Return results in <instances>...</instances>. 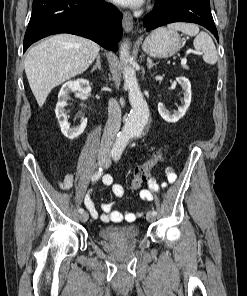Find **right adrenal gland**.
Here are the masks:
<instances>
[{
  "label": "right adrenal gland",
  "mask_w": 247,
  "mask_h": 296,
  "mask_svg": "<svg viewBox=\"0 0 247 296\" xmlns=\"http://www.w3.org/2000/svg\"><path fill=\"white\" fill-rule=\"evenodd\" d=\"M100 59H101V57H100V55H98L97 58H96V64L91 69V73L93 71H95L96 69L102 70V68H101V60Z\"/></svg>",
  "instance_id": "right-adrenal-gland-1"
}]
</instances>
